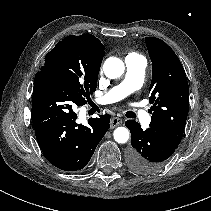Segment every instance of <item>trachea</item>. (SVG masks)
<instances>
[{
    "mask_svg": "<svg viewBox=\"0 0 211 211\" xmlns=\"http://www.w3.org/2000/svg\"><path fill=\"white\" fill-rule=\"evenodd\" d=\"M126 117L128 118H136V114L132 111H128L126 114H125Z\"/></svg>",
    "mask_w": 211,
    "mask_h": 211,
    "instance_id": "1",
    "label": "trachea"
}]
</instances>
